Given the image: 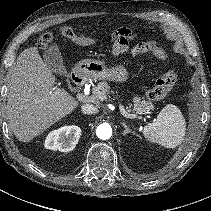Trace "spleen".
Returning <instances> with one entry per match:
<instances>
[{
    "instance_id": "spleen-1",
    "label": "spleen",
    "mask_w": 211,
    "mask_h": 211,
    "mask_svg": "<svg viewBox=\"0 0 211 211\" xmlns=\"http://www.w3.org/2000/svg\"><path fill=\"white\" fill-rule=\"evenodd\" d=\"M186 122L173 104L166 105L158 114L157 121L144 126V137L167 148H176L185 137Z\"/></svg>"
}]
</instances>
